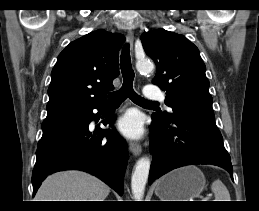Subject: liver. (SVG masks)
I'll return each instance as SVG.
<instances>
[{"label":"liver","instance_id":"liver-1","mask_svg":"<svg viewBox=\"0 0 259 211\" xmlns=\"http://www.w3.org/2000/svg\"><path fill=\"white\" fill-rule=\"evenodd\" d=\"M110 188L98 178L81 171H64L48 176L36 201H104Z\"/></svg>","mask_w":259,"mask_h":211}]
</instances>
